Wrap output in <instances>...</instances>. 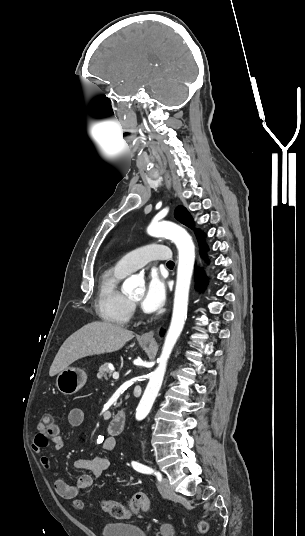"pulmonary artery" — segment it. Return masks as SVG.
Returning a JSON list of instances; mask_svg holds the SVG:
<instances>
[{
    "label": "pulmonary artery",
    "mask_w": 305,
    "mask_h": 536,
    "mask_svg": "<svg viewBox=\"0 0 305 536\" xmlns=\"http://www.w3.org/2000/svg\"><path fill=\"white\" fill-rule=\"evenodd\" d=\"M172 257L173 254L166 245H159L157 241H152L146 246L127 253L117 261L115 267L125 274H130L152 260L169 261Z\"/></svg>",
    "instance_id": "e3ab8cb5"
}]
</instances>
